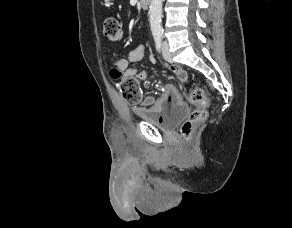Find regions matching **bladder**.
Here are the masks:
<instances>
[{
    "instance_id": "31cf9c89",
    "label": "bladder",
    "mask_w": 292,
    "mask_h": 228,
    "mask_svg": "<svg viewBox=\"0 0 292 228\" xmlns=\"http://www.w3.org/2000/svg\"><path fill=\"white\" fill-rule=\"evenodd\" d=\"M188 112L189 106L186 103H179L165 113L144 115L142 121L161 129H170L182 120Z\"/></svg>"
}]
</instances>
